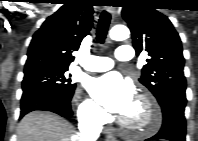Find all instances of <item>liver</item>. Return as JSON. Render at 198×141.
I'll return each instance as SVG.
<instances>
[{
  "label": "liver",
  "instance_id": "6515ba94",
  "mask_svg": "<svg viewBox=\"0 0 198 141\" xmlns=\"http://www.w3.org/2000/svg\"><path fill=\"white\" fill-rule=\"evenodd\" d=\"M18 141H76L73 126L60 116L34 111L25 115L18 125Z\"/></svg>",
  "mask_w": 198,
  "mask_h": 141
}]
</instances>
